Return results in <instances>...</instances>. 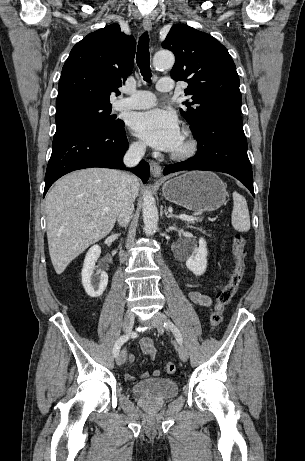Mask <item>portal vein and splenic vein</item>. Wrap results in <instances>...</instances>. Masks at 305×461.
<instances>
[{"instance_id": "obj_1", "label": "portal vein and splenic vein", "mask_w": 305, "mask_h": 461, "mask_svg": "<svg viewBox=\"0 0 305 461\" xmlns=\"http://www.w3.org/2000/svg\"><path fill=\"white\" fill-rule=\"evenodd\" d=\"M179 218L183 221H193L196 219V217H193V216H188L186 214H181L179 215Z\"/></svg>"}]
</instances>
